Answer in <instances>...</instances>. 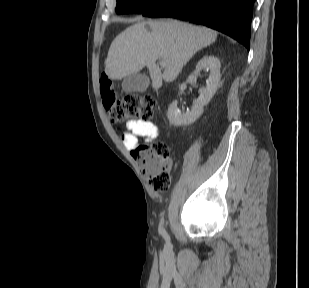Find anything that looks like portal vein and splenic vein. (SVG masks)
I'll list each match as a JSON object with an SVG mask.
<instances>
[{
	"label": "portal vein and splenic vein",
	"mask_w": 309,
	"mask_h": 288,
	"mask_svg": "<svg viewBox=\"0 0 309 288\" xmlns=\"http://www.w3.org/2000/svg\"><path fill=\"white\" fill-rule=\"evenodd\" d=\"M159 63H160L161 66L164 65V61L163 60H160Z\"/></svg>",
	"instance_id": "1"
}]
</instances>
